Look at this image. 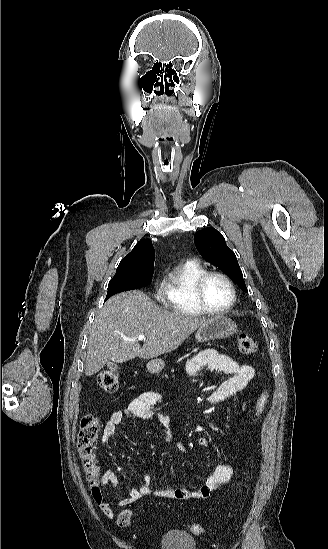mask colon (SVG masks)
I'll list each match as a JSON object with an SVG mask.
<instances>
[{
    "label": "colon",
    "mask_w": 328,
    "mask_h": 549,
    "mask_svg": "<svg viewBox=\"0 0 328 549\" xmlns=\"http://www.w3.org/2000/svg\"><path fill=\"white\" fill-rule=\"evenodd\" d=\"M237 346L240 353L244 355H252L257 351V342L247 334L238 335ZM97 382L99 387L106 393H114L119 387L118 375L113 370H104L100 372L97 377ZM268 399V392H262L254 406V419H257L261 415L268 403ZM99 430V420L93 415H86L81 421L77 437L78 453L86 473L91 494L97 503L103 498L102 490L99 485V469L95 455ZM132 518L133 511L131 509H124L116 516V523L118 526L125 528L131 524ZM188 529L195 534L203 532L202 526L198 523H190Z\"/></svg>",
    "instance_id": "colon-1"
}]
</instances>
